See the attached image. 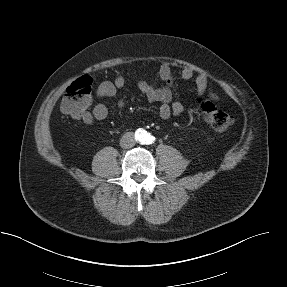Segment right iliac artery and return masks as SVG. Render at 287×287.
Listing matches in <instances>:
<instances>
[{"label": "right iliac artery", "instance_id": "1", "mask_svg": "<svg viewBox=\"0 0 287 287\" xmlns=\"http://www.w3.org/2000/svg\"><path fill=\"white\" fill-rule=\"evenodd\" d=\"M136 134H137V137H138V138H142V137H144L145 132L142 131V130H138V131L136 132Z\"/></svg>", "mask_w": 287, "mask_h": 287}]
</instances>
